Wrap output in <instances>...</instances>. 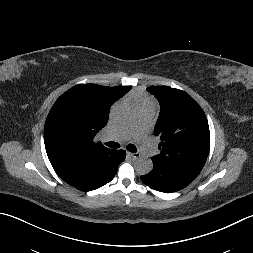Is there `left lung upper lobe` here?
Segmentation results:
<instances>
[{"instance_id":"obj_1","label":"left lung upper lobe","mask_w":253,"mask_h":253,"mask_svg":"<svg viewBox=\"0 0 253 253\" xmlns=\"http://www.w3.org/2000/svg\"><path fill=\"white\" fill-rule=\"evenodd\" d=\"M161 105L154 133L159 136V155L154 163L198 176L210 148L209 125L205 113L186 92L167 86L149 87Z\"/></svg>"}]
</instances>
